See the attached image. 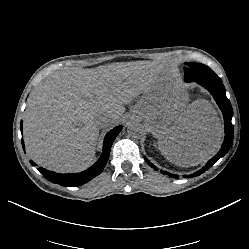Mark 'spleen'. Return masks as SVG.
<instances>
[{
  "instance_id": "spleen-1",
  "label": "spleen",
  "mask_w": 249,
  "mask_h": 249,
  "mask_svg": "<svg viewBox=\"0 0 249 249\" xmlns=\"http://www.w3.org/2000/svg\"><path fill=\"white\" fill-rule=\"evenodd\" d=\"M159 149H160V151H161L165 156H168V157L171 156V154H170V148H169V147H167V146H165V147L159 146Z\"/></svg>"
}]
</instances>
